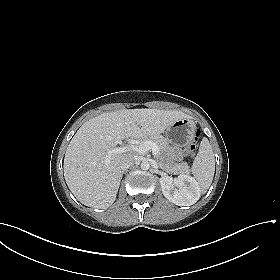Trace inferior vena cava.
I'll list each match as a JSON object with an SVG mask.
<instances>
[{"instance_id": "602c4592", "label": "inferior vena cava", "mask_w": 280, "mask_h": 280, "mask_svg": "<svg viewBox=\"0 0 280 280\" xmlns=\"http://www.w3.org/2000/svg\"><path fill=\"white\" fill-rule=\"evenodd\" d=\"M136 162V157L132 154H125L122 156L119 166L124 171L134 165Z\"/></svg>"}]
</instances>
